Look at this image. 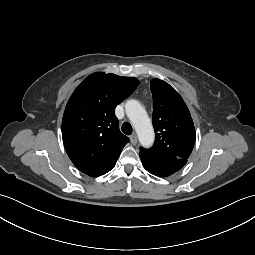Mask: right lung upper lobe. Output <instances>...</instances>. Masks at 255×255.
<instances>
[{
    "label": "right lung upper lobe",
    "instance_id": "obj_1",
    "mask_svg": "<svg viewBox=\"0 0 255 255\" xmlns=\"http://www.w3.org/2000/svg\"><path fill=\"white\" fill-rule=\"evenodd\" d=\"M138 85L136 78L100 72L88 76L71 95L62 138L69 158L83 173L98 177L115 166L130 141L119 130L115 107Z\"/></svg>",
    "mask_w": 255,
    "mask_h": 255
}]
</instances>
